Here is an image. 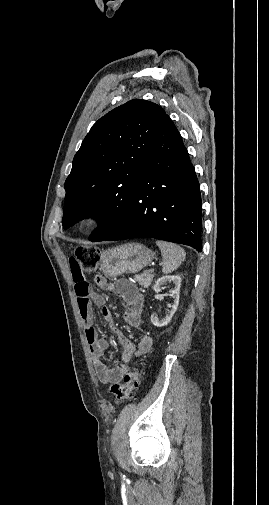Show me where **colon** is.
I'll return each mask as SVG.
<instances>
[{
    "instance_id": "obj_1",
    "label": "colon",
    "mask_w": 269,
    "mask_h": 505,
    "mask_svg": "<svg viewBox=\"0 0 269 505\" xmlns=\"http://www.w3.org/2000/svg\"><path fill=\"white\" fill-rule=\"evenodd\" d=\"M71 259H79L83 274H93L99 262V250L94 246H80L75 250V256ZM141 371L135 369L124 376L123 382L112 384L110 392L117 403L132 400L139 388Z\"/></svg>"
}]
</instances>
